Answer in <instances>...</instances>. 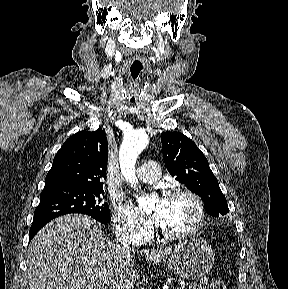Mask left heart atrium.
Returning <instances> with one entry per match:
<instances>
[{
    "mask_svg": "<svg viewBox=\"0 0 288 289\" xmlns=\"http://www.w3.org/2000/svg\"><path fill=\"white\" fill-rule=\"evenodd\" d=\"M153 219H154L155 221H158V220H159V214H158V213H154Z\"/></svg>",
    "mask_w": 288,
    "mask_h": 289,
    "instance_id": "obj_1",
    "label": "left heart atrium"
}]
</instances>
